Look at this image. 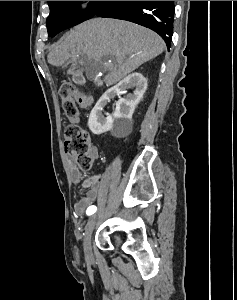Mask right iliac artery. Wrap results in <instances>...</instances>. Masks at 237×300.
<instances>
[{"label": "right iliac artery", "instance_id": "1", "mask_svg": "<svg viewBox=\"0 0 237 300\" xmlns=\"http://www.w3.org/2000/svg\"><path fill=\"white\" fill-rule=\"evenodd\" d=\"M96 210H97V207H96V206H94V205L89 206V207L87 208V210H86V214H87V215H92V214H94V213L96 212Z\"/></svg>", "mask_w": 237, "mask_h": 300}]
</instances>
